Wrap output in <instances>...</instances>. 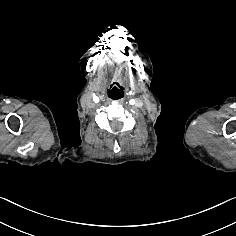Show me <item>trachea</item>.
<instances>
[{"instance_id": "1", "label": "trachea", "mask_w": 236, "mask_h": 236, "mask_svg": "<svg viewBox=\"0 0 236 236\" xmlns=\"http://www.w3.org/2000/svg\"><path fill=\"white\" fill-rule=\"evenodd\" d=\"M124 97V92L119 86H114L112 90L108 93V99L110 101H115L116 99H122Z\"/></svg>"}]
</instances>
